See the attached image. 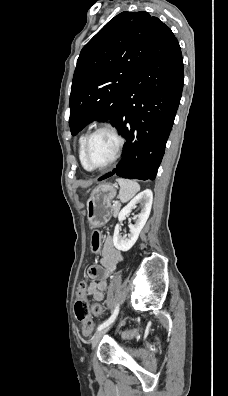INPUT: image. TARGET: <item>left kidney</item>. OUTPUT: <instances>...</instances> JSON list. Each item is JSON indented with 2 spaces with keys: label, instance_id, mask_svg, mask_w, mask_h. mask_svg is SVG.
I'll list each match as a JSON object with an SVG mask.
<instances>
[{
  "label": "left kidney",
  "instance_id": "obj_1",
  "mask_svg": "<svg viewBox=\"0 0 228 396\" xmlns=\"http://www.w3.org/2000/svg\"><path fill=\"white\" fill-rule=\"evenodd\" d=\"M152 201H153V193L151 190L147 189L139 193L120 211L118 215V220L119 222H122L125 219V217L128 214H130L132 209L136 207L137 203H141L142 205L141 212L134 216V218L136 219L135 224L129 225L130 234H128V238L120 234L119 224L115 226L113 243L118 250L128 251L136 243L139 234L150 215Z\"/></svg>",
  "mask_w": 228,
  "mask_h": 396
}]
</instances>
